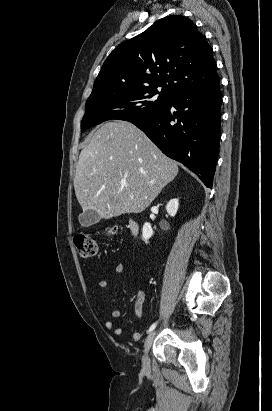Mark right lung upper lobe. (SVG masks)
Here are the masks:
<instances>
[{
    "label": "right lung upper lobe",
    "mask_w": 272,
    "mask_h": 411,
    "mask_svg": "<svg viewBox=\"0 0 272 411\" xmlns=\"http://www.w3.org/2000/svg\"><path fill=\"white\" fill-rule=\"evenodd\" d=\"M212 53L190 19L168 16L116 47L104 62L92 92L162 87L174 96L207 87L219 78Z\"/></svg>",
    "instance_id": "obj_1"
}]
</instances>
